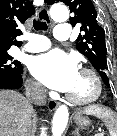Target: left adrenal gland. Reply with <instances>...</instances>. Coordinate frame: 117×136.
<instances>
[{
    "instance_id": "obj_1",
    "label": "left adrenal gland",
    "mask_w": 117,
    "mask_h": 136,
    "mask_svg": "<svg viewBox=\"0 0 117 136\" xmlns=\"http://www.w3.org/2000/svg\"><path fill=\"white\" fill-rule=\"evenodd\" d=\"M73 136H80L79 134V128H76L75 131L72 133Z\"/></svg>"
}]
</instances>
